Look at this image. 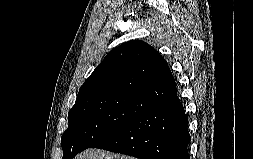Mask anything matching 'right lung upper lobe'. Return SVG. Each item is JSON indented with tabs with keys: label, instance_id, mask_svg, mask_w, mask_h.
I'll list each match as a JSON object with an SVG mask.
<instances>
[{
	"label": "right lung upper lobe",
	"instance_id": "right-lung-upper-lobe-1",
	"mask_svg": "<svg viewBox=\"0 0 253 159\" xmlns=\"http://www.w3.org/2000/svg\"><path fill=\"white\" fill-rule=\"evenodd\" d=\"M176 93L165 59L146 42L133 40L107 54L81 86L76 101L123 94L157 104Z\"/></svg>",
	"mask_w": 253,
	"mask_h": 159
}]
</instances>
